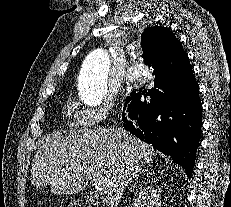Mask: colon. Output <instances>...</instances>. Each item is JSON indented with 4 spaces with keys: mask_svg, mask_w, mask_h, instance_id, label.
Returning a JSON list of instances; mask_svg holds the SVG:
<instances>
[{
    "mask_svg": "<svg viewBox=\"0 0 231 207\" xmlns=\"http://www.w3.org/2000/svg\"><path fill=\"white\" fill-rule=\"evenodd\" d=\"M61 207H79V205L71 199H66L61 203Z\"/></svg>",
    "mask_w": 231,
    "mask_h": 207,
    "instance_id": "colon-1",
    "label": "colon"
}]
</instances>
